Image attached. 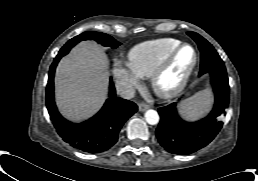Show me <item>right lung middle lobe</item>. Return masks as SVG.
I'll list each match as a JSON object with an SVG mask.
<instances>
[{
    "instance_id": "right-lung-middle-lobe-1",
    "label": "right lung middle lobe",
    "mask_w": 258,
    "mask_h": 181,
    "mask_svg": "<svg viewBox=\"0 0 258 181\" xmlns=\"http://www.w3.org/2000/svg\"><path fill=\"white\" fill-rule=\"evenodd\" d=\"M95 40L99 44L106 46V47H111L113 49L117 48L121 43L116 41L114 38L111 36L101 33V32H93V31H86L72 39H70L59 51L58 55L64 56L66 55L70 49L79 43L82 40Z\"/></svg>"
}]
</instances>
